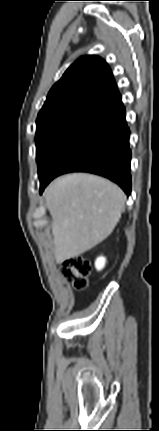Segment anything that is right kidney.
Returning a JSON list of instances; mask_svg holds the SVG:
<instances>
[{
  "label": "right kidney",
  "instance_id": "right-kidney-1",
  "mask_svg": "<svg viewBox=\"0 0 159 431\" xmlns=\"http://www.w3.org/2000/svg\"><path fill=\"white\" fill-rule=\"evenodd\" d=\"M105 263H106L105 257H103V256L98 257L96 259V261H95V267H96V269L97 270L103 269L104 266H105Z\"/></svg>",
  "mask_w": 159,
  "mask_h": 431
}]
</instances>
